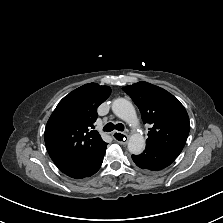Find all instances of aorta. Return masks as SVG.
<instances>
[{
  "mask_svg": "<svg viewBox=\"0 0 223 223\" xmlns=\"http://www.w3.org/2000/svg\"><path fill=\"white\" fill-rule=\"evenodd\" d=\"M113 113L120 119L127 122L130 126L138 124V117L133 104L124 98H117L112 103ZM145 148V140L142 134L133 133L128 141V150L130 153L138 155Z\"/></svg>",
  "mask_w": 223,
  "mask_h": 223,
  "instance_id": "762f6f07",
  "label": "aorta"
}]
</instances>
